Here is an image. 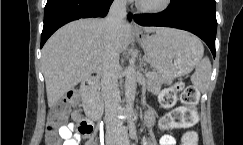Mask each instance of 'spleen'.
<instances>
[{"label": "spleen", "mask_w": 243, "mask_h": 145, "mask_svg": "<svg viewBox=\"0 0 243 145\" xmlns=\"http://www.w3.org/2000/svg\"><path fill=\"white\" fill-rule=\"evenodd\" d=\"M203 53H201L197 63L195 72L191 76V82L196 86L201 92H204L210 82L211 76V63L208 57L202 58Z\"/></svg>", "instance_id": "3e777b00"}]
</instances>
